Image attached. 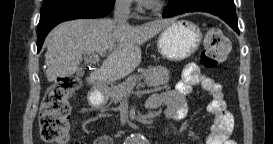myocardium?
<instances>
[{
  "label": "myocardium",
  "mask_w": 273,
  "mask_h": 144,
  "mask_svg": "<svg viewBox=\"0 0 273 144\" xmlns=\"http://www.w3.org/2000/svg\"><path fill=\"white\" fill-rule=\"evenodd\" d=\"M164 2H165V1H164ZM164 2L160 3L157 7H153V8H151V9L154 10V11L160 10V9H161V6L164 4Z\"/></svg>",
  "instance_id": "obj_1"
}]
</instances>
